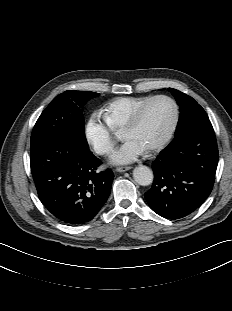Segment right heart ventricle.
I'll return each instance as SVG.
<instances>
[{
    "instance_id": "obj_1",
    "label": "right heart ventricle",
    "mask_w": 232,
    "mask_h": 311,
    "mask_svg": "<svg viewBox=\"0 0 232 311\" xmlns=\"http://www.w3.org/2000/svg\"><path fill=\"white\" fill-rule=\"evenodd\" d=\"M151 96H124L109 101L104 108L105 119L113 131L124 129L137 108Z\"/></svg>"
}]
</instances>
